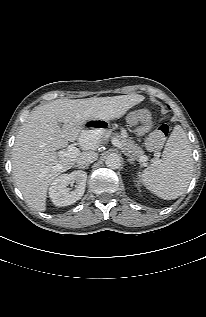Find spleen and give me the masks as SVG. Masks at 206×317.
Returning a JSON list of instances; mask_svg holds the SVG:
<instances>
[{"instance_id": "1", "label": "spleen", "mask_w": 206, "mask_h": 317, "mask_svg": "<svg viewBox=\"0 0 206 317\" xmlns=\"http://www.w3.org/2000/svg\"><path fill=\"white\" fill-rule=\"evenodd\" d=\"M193 165L187 135L180 125H176L168 138L162 159L155 160L143 171V184L162 199H176L186 191L192 178Z\"/></svg>"}]
</instances>
